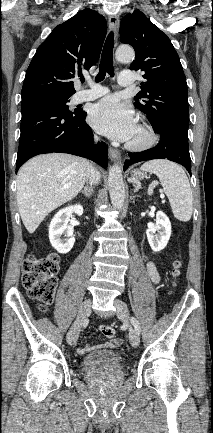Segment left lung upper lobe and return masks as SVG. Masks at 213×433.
I'll return each mask as SVG.
<instances>
[{"label":"left lung upper lobe","mask_w":213,"mask_h":433,"mask_svg":"<svg viewBox=\"0 0 213 433\" xmlns=\"http://www.w3.org/2000/svg\"><path fill=\"white\" fill-rule=\"evenodd\" d=\"M120 40L135 50L130 69L144 72L135 106L149 116L155 131L167 123L188 129L186 77L170 39L141 11H135L121 21Z\"/></svg>","instance_id":"left-lung-upper-lobe-1"}]
</instances>
